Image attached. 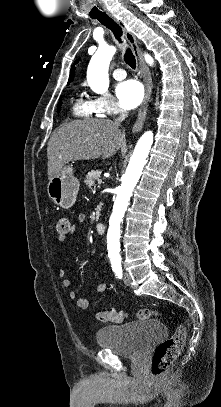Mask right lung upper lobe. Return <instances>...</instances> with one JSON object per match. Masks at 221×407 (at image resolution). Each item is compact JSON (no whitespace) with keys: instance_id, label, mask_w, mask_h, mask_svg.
I'll use <instances>...</instances> for the list:
<instances>
[{"instance_id":"right-lung-upper-lobe-1","label":"right lung upper lobe","mask_w":221,"mask_h":407,"mask_svg":"<svg viewBox=\"0 0 221 407\" xmlns=\"http://www.w3.org/2000/svg\"><path fill=\"white\" fill-rule=\"evenodd\" d=\"M79 60H80V58H79ZM78 60H76L75 61V63H74V65H72V68H71V71H70V77H69V81H68V83L69 82H71L73 79H74V70H75V64H78Z\"/></svg>"}]
</instances>
